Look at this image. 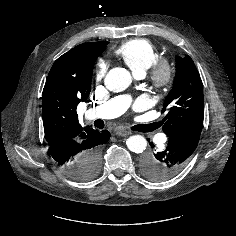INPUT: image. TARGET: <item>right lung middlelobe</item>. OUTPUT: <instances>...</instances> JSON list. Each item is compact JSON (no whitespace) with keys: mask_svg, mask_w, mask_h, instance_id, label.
Listing matches in <instances>:
<instances>
[{"mask_svg":"<svg viewBox=\"0 0 236 236\" xmlns=\"http://www.w3.org/2000/svg\"><path fill=\"white\" fill-rule=\"evenodd\" d=\"M100 155V152H99ZM101 158L97 154H88L81 168L78 180H87L95 177L100 171Z\"/></svg>","mask_w":236,"mask_h":236,"instance_id":"dd1d6c3e","label":"right lung middle lobe"}]
</instances>
